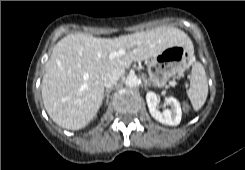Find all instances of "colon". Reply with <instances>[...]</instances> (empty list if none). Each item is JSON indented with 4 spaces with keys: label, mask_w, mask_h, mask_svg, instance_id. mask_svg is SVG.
<instances>
[{
    "label": "colon",
    "mask_w": 245,
    "mask_h": 170,
    "mask_svg": "<svg viewBox=\"0 0 245 170\" xmlns=\"http://www.w3.org/2000/svg\"><path fill=\"white\" fill-rule=\"evenodd\" d=\"M177 89H178L179 91H181V90L183 89V85H182V84H179V85L177 86ZM188 110H189V105H188V104H185V105H184V111H185V112H188Z\"/></svg>",
    "instance_id": "5ec220e1"
}]
</instances>
